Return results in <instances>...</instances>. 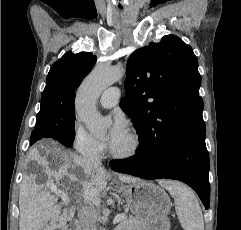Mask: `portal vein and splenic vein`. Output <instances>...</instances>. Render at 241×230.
<instances>
[{"label": "portal vein and splenic vein", "instance_id": "1", "mask_svg": "<svg viewBox=\"0 0 241 230\" xmlns=\"http://www.w3.org/2000/svg\"><path fill=\"white\" fill-rule=\"evenodd\" d=\"M60 196H61V198H62L63 200H69L68 197L65 196V193H64V192H62V193L60 194ZM125 218H126V216H125L124 214L117 215V216L115 217V219H114V223L121 222V221H123Z\"/></svg>", "mask_w": 241, "mask_h": 230}]
</instances>
